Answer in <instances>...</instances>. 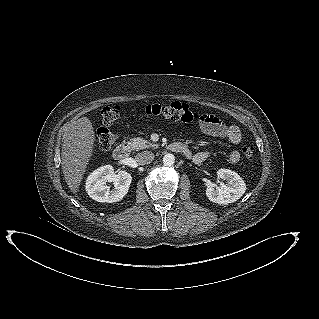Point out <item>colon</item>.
<instances>
[{"instance_id": "5ec220e1", "label": "colon", "mask_w": 319, "mask_h": 319, "mask_svg": "<svg viewBox=\"0 0 319 319\" xmlns=\"http://www.w3.org/2000/svg\"><path fill=\"white\" fill-rule=\"evenodd\" d=\"M141 113L162 117L169 120L192 122L195 120H203L206 115L193 111L188 104L181 102H172L168 104H152L141 109ZM120 115L119 106H106L102 110L103 123L105 125L113 124ZM118 140V134L106 127H101L96 132V145L101 150L110 149ZM242 156L251 161L254 158V148L252 146H244L241 150Z\"/></svg>"}]
</instances>
